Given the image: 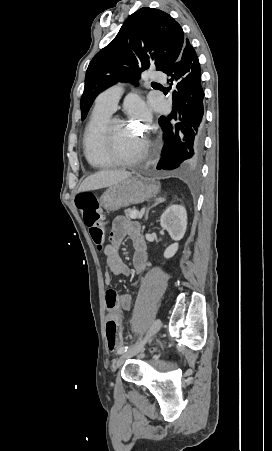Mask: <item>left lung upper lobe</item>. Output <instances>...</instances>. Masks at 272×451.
Returning a JSON list of instances; mask_svg holds the SVG:
<instances>
[{
	"label": "left lung upper lobe",
	"instance_id": "1",
	"mask_svg": "<svg viewBox=\"0 0 272 451\" xmlns=\"http://www.w3.org/2000/svg\"><path fill=\"white\" fill-rule=\"evenodd\" d=\"M187 38L166 12L143 7L131 14L117 36L90 62L80 101L82 120L106 88L118 81L137 83L141 71L151 65L165 72L179 58Z\"/></svg>",
	"mask_w": 272,
	"mask_h": 451
}]
</instances>
